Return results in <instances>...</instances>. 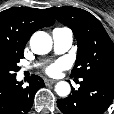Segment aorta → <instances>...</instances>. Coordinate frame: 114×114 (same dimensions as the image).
Returning <instances> with one entry per match:
<instances>
[{
	"instance_id": "762f6f07",
	"label": "aorta",
	"mask_w": 114,
	"mask_h": 114,
	"mask_svg": "<svg viewBox=\"0 0 114 114\" xmlns=\"http://www.w3.org/2000/svg\"><path fill=\"white\" fill-rule=\"evenodd\" d=\"M31 50L38 55H44L52 49V39L44 31L35 32L30 39ZM55 91L60 97H66L70 94L71 87L66 81H59L55 86Z\"/></svg>"
}]
</instances>
